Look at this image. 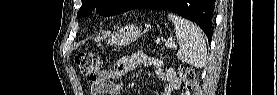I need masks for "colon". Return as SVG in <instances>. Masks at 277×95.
I'll return each instance as SVG.
<instances>
[{
	"label": "colon",
	"instance_id": "obj_1",
	"mask_svg": "<svg viewBox=\"0 0 277 95\" xmlns=\"http://www.w3.org/2000/svg\"><path fill=\"white\" fill-rule=\"evenodd\" d=\"M80 73L92 81L100 67V59L93 53H81L75 57ZM180 74L183 76L186 89H191L196 82L195 74L187 67H180Z\"/></svg>",
	"mask_w": 277,
	"mask_h": 95
}]
</instances>
